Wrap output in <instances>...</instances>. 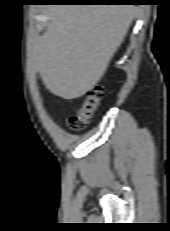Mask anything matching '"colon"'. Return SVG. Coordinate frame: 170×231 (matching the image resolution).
Listing matches in <instances>:
<instances>
[{"instance_id":"5ec220e1","label":"colon","mask_w":170,"mask_h":231,"mask_svg":"<svg viewBox=\"0 0 170 231\" xmlns=\"http://www.w3.org/2000/svg\"><path fill=\"white\" fill-rule=\"evenodd\" d=\"M103 93V87L100 85L92 87L86 93L77 113L69 119L71 130L79 131L91 121L101 105Z\"/></svg>"}]
</instances>
